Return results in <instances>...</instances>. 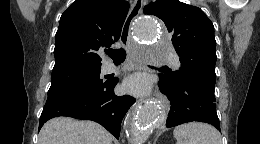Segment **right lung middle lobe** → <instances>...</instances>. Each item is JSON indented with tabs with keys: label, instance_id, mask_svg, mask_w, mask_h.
Returning <instances> with one entry per match:
<instances>
[{
	"label": "right lung middle lobe",
	"instance_id": "dd1d6c3e",
	"mask_svg": "<svg viewBox=\"0 0 260 144\" xmlns=\"http://www.w3.org/2000/svg\"><path fill=\"white\" fill-rule=\"evenodd\" d=\"M101 67L73 66L52 71L50 89L70 85L99 86L104 82L100 79Z\"/></svg>",
	"mask_w": 260,
	"mask_h": 144
}]
</instances>
